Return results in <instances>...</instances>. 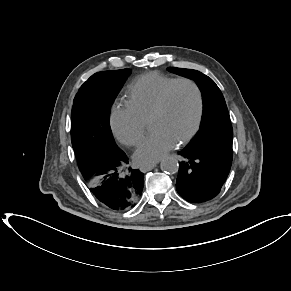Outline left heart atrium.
Returning <instances> with one entry per match:
<instances>
[{"instance_id": "1", "label": "left heart atrium", "mask_w": 291, "mask_h": 291, "mask_svg": "<svg viewBox=\"0 0 291 291\" xmlns=\"http://www.w3.org/2000/svg\"><path fill=\"white\" fill-rule=\"evenodd\" d=\"M176 144L177 141L168 133L154 132L140 143L134 153V160L141 165L158 162Z\"/></svg>"}]
</instances>
